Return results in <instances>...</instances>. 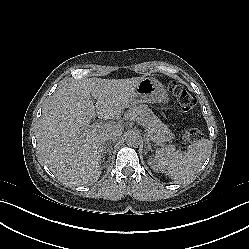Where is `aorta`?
<instances>
[{
	"mask_svg": "<svg viewBox=\"0 0 249 249\" xmlns=\"http://www.w3.org/2000/svg\"><path fill=\"white\" fill-rule=\"evenodd\" d=\"M139 136L136 134H131L126 137V143L129 146H137L139 144Z\"/></svg>",
	"mask_w": 249,
	"mask_h": 249,
	"instance_id": "762f6f07",
	"label": "aorta"
}]
</instances>
